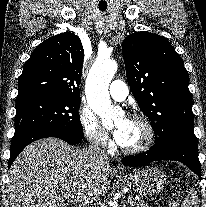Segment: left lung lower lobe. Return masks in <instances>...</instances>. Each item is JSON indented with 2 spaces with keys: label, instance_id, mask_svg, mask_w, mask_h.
I'll return each instance as SVG.
<instances>
[{
  "label": "left lung lower lobe",
  "instance_id": "left-lung-lower-lobe-1",
  "mask_svg": "<svg viewBox=\"0 0 206 207\" xmlns=\"http://www.w3.org/2000/svg\"><path fill=\"white\" fill-rule=\"evenodd\" d=\"M158 160H176L188 166L201 179V164L198 159V146L194 139L183 138L159 149L128 156L122 159L126 166H142Z\"/></svg>",
  "mask_w": 206,
  "mask_h": 207
}]
</instances>
